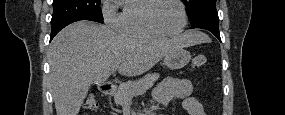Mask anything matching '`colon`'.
Returning <instances> with one entry per match:
<instances>
[{
    "instance_id": "colon-1",
    "label": "colon",
    "mask_w": 285,
    "mask_h": 115,
    "mask_svg": "<svg viewBox=\"0 0 285 115\" xmlns=\"http://www.w3.org/2000/svg\"><path fill=\"white\" fill-rule=\"evenodd\" d=\"M208 65V59L205 55H197L193 59V66L195 68L201 69V68H206ZM99 108L98 101L93 97L90 96L87 98L85 104H84V109L86 111H96Z\"/></svg>"
}]
</instances>
